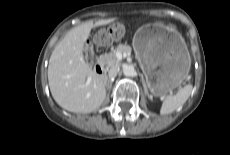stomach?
Here are the masks:
<instances>
[{"instance_id":"1","label":"stomach","mask_w":230,"mask_h":155,"mask_svg":"<svg viewBox=\"0 0 230 155\" xmlns=\"http://www.w3.org/2000/svg\"><path fill=\"white\" fill-rule=\"evenodd\" d=\"M132 46L151 95L166 96L187 78L191 59L179 33L146 24L136 31Z\"/></svg>"}]
</instances>
